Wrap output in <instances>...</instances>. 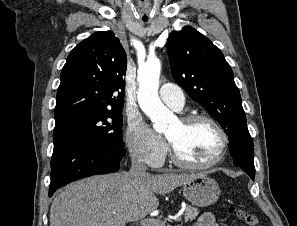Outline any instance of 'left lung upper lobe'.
<instances>
[{"label": "left lung upper lobe", "instance_id": "obj_1", "mask_svg": "<svg viewBox=\"0 0 297 226\" xmlns=\"http://www.w3.org/2000/svg\"><path fill=\"white\" fill-rule=\"evenodd\" d=\"M167 51L175 81L227 133L234 164L254 165V145L240 92L219 48L196 29L186 26L169 35Z\"/></svg>", "mask_w": 297, "mask_h": 226}]
</instances>
